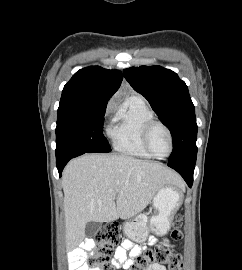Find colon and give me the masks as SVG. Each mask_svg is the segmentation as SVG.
I'll list each match as a JSON object with an SVG mask.
<instances>
[{
	"mask_svg": "<svg viewBox=\"0 0 242 270\" xmlns=\"http://www.w3.org/2000/svg\"><path fill=\"white\" fill-rule=\"evenodd\" d=\"M181 225L182 218L176 216L171 232L174 240L179 241L183 238ZM120 241L121 231L118 225L104 226L94 236L92 249L95 254L86 261L87 265L97 270H115L111 262V254ZM155 264L166 265L168 270H182L183 267L182 257L179 253L169 247L158 246L138 255L130 270H149Z\"/></svg>",
	"mask_w": 242,
	"mask_h": 270,
	"instance_id": "colon-1",
	"label": "colon"
}]
</instances>
